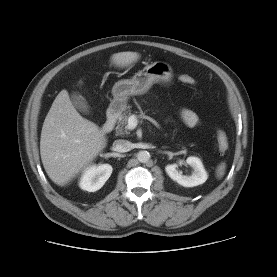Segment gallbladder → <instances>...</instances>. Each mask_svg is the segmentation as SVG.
Instances as JSON below:
<instances>
[{
	"label": "gallbladder",
	"mask_w": 277,
	"mask_h": 277,
	"mask_svg": "<svg viewBox=\"0 0 277 277\" xmlns=\"http://www.w3.org/2000/svg\"><path fill=\"white\" fill-rule=\"evenodd\" d=\"M72 102L74 106L82 113L89 114L91 108L87 101L81 96L76 93L72 94L71 96Z\"/></svg>",
	"instance_id": "obj_1"
}]
</instances>
